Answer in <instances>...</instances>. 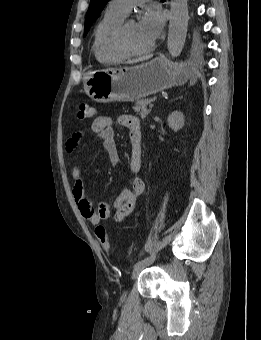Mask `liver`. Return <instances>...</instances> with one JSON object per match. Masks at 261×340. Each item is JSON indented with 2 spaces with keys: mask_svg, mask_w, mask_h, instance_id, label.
<instances>
[{
  "mask_svg": "<svg viewBox=\"0 0 261 340\" xmlns=\"http://www.w3.org/2000/svg\"><path fill=\"white\" fill-rule=\"evenodd\" d=\"M143 59H140V60H136V61H132L130 63H134V62H138V61H142Z\"/></svg>",
  "mask_w": 261,
  "mask_h": 340,
  "instance_id": "1",
  "label": "liver"
}]
</instances>
